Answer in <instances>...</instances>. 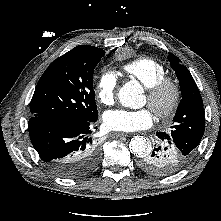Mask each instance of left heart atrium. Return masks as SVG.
<instances>
[{
  "label": "left heart atrium",
  "instance_id": "obj_1",
  "mask_svg": "<svg viewBox=\"0 0 221 221\" xmlns=\"http://www.w3.org/2000/svg\"><path fill=\"white\" fill-rule=\"evenodd\" d=\"M153 119V113L149 108L113 109L103 115V122L107 129L121 132H134L148 128L153 124Z\"/></svg>",
  "mask_w": 221,
  "mask_h": 221
}]
</instances>
